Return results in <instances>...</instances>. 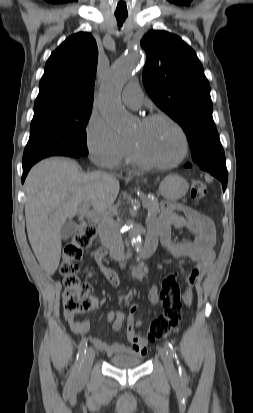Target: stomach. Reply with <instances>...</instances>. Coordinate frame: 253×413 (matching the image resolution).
<instances>
[{"label":"stomach","mask_w":253,"mask_h":413,"mask_svg":"<svg viewBox=\"0 0 253 413\" xmlns=\"http://www.w3.org/2000/svg\"><path fill=\"white\" fill-rule=\"evenodd\" d=\"M189 189L188 182L177 174L165 177L159 185V193L169 201L181 199Z\"/></svg>","instance_id":"stomach-1"}]
</instances>
